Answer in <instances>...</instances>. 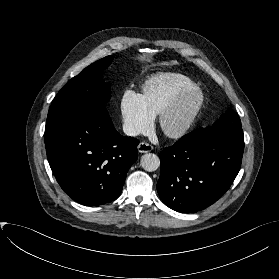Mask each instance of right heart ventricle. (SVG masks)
<instances>
[{"label": "right heart ventricle", "mask_w": 279, "mask_h": 279, "mask_svg": "<svg viewBox=\"0 0 279 279\" xmlns=\"http://www.w3.org/2000/svg\"><path fill=\"white\" fill-rule=\"evenodd\" d=\"M198 87L189 77L179 73H163L149 78L142 87V98L153 116L160 114L184 92Z\"/></svg>", "instance_id": "obj_1"}]
</instances>
